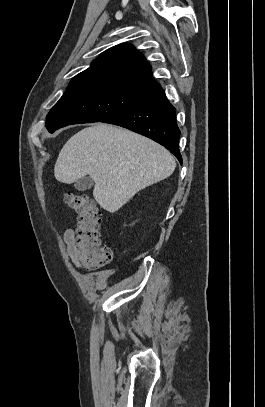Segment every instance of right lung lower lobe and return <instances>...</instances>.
Here are the masks:
<instances>
[{"label": "right lung lower lobe", "instance_id": "1", "mask_svg": "<svg viewBox=\"0 0 265 407\" xmlns=\"http://www.w3.org/2000/svg\"><path fill=\"white\" fill-rule=\"evenodd\" d=\"M103 122L127 128L158 142L182 163L175 108L160 86L145 100Z\"/></svg>", "mask_w": 265, "mask_h": 407}]
</instances>
